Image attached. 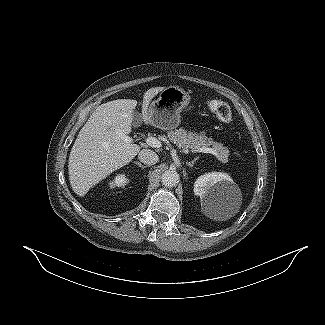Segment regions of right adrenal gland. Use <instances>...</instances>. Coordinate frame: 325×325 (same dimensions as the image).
Instances as JSON below:
<instances>
[{
  "label": "right adrenal gland",
  "mask_w": 325,
  "mask_h": 325,
  "mask_svg": "<svg viewBox=\"0 0 325 325\" xmlns=\"http://www.w3.org/2000/svg\"><path fill=\"white\" fill-rule=\"evenodd\" d=\"M134 164H136V165H138L139 167H141V168H146L147 166H144V165H142L140 162H134Z\"/></svg>",
  "instance_id": "right-adrenal-gland-1"
}]
</instances>
